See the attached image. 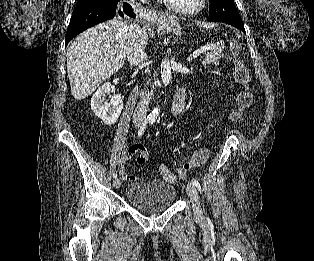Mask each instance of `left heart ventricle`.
Listing matches in <instances>:
<instances>
[{
  "instance_id": "obj_1",
  "label": "left heart ventricle",
  "mask_w": 314,
  "mask_h": 261,
  "mask_svg": "<svg viewBox=\"0 0 314 261\" xmlns=\"http://www.w3.org/2000/svg\"><path fill=\"white\" fill-rule=\"evenodd\" d=\"M197 1L198 0H171V2L183 7L193 6Z\"/></svg>"
}]
</instances>
